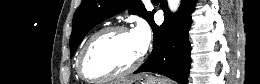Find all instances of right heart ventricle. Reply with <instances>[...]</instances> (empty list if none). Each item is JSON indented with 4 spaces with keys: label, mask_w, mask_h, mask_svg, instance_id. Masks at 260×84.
I'll use <instances>...</instances> for the list:
<instances>
[{
    "label": "right heart ventricle",
    "mask_w": 260,
    "mask_h": 84,
    "mask_svg": "<svg viewBox=\"0 0 260 84\" xmlns=\"http://www.w3.org/2000/svg\"><path fill=\"white\" fill-rule=\"evenodd\" d=\"M84 46V45H83ZM83 46H82V48H83ZM82 48L80 49V51H79V53H78V56H77V60H76V69H77V65H78V58H79V55H80V53H81V51H82Z\"/></svg>",
    "instance_id": "e07e8e85"
}]
</instances>
